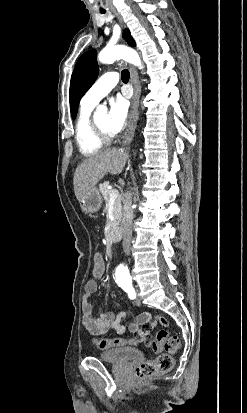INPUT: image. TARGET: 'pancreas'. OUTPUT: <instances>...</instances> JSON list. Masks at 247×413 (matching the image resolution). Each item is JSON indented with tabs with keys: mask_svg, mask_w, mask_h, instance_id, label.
Here are the masks:
<instances>
[{
	"mask_svg": "<svg viewBox=\"0 0 247 413\" xmlns=\"http://www.w3.org/2000/svg\"><path fill=\"white\" fill-rule=\"evenodd\" d=\"M110 186L109 180H105V182H101L99 184V190L106 202H109L110 196H109V190L111 188H108ZM121 198L122 196H118V198H115L114 200V221H113V227H117L120 219H121Z\"/></svg>",
	"mask_w": 247,
	"mask_h": 413,
	"instance_id": "cf45deb5",
	"label": "pancreas"
}]
</instances>
